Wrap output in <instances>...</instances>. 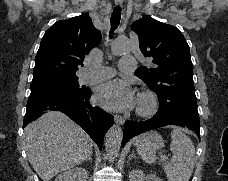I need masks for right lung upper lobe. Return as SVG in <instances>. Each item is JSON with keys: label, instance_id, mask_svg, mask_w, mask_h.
Returning a JSON list of instances; mask_svg holds the SVG:
<instances>
[{"label": "right lung upper lobe", "instance_id": "obj_1", "mask_svg": "<svg viewBox=\"0 0 228 181\" xmlns=\"http://www.w3.org/2000/svg\"><path fill=\"white\" fill-rule=\"evenodd\" d=\"M101 33L88 14L57 21L44 34L35 57L33 80L76 76L90 50L98 46Z\"/></svg>", "mask_w": 228, "mask_h": 181}]
</instances>
